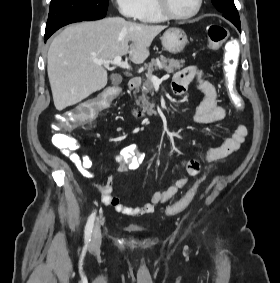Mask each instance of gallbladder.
<instances>
[{
    "label": "gallbladder",
    "instance_id": "bac80fb5",
    "mask_svg": "<svg viewBox=\"0 0 280 283\" xmlns=\"http://www.w3.org/2000/svg\"><path fill=\"white\" fill-rule=\"evenodd\" d=\"M111 78H112L113 85H119L122 81L121 77L118 75H112Z\"/></svg>",
    "mask_w": 280,
    "mask_h": 283
}]
</instances>
